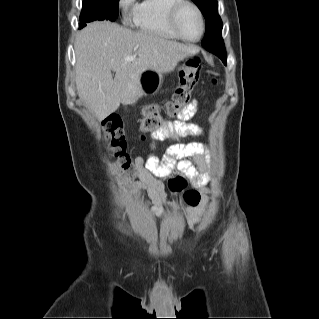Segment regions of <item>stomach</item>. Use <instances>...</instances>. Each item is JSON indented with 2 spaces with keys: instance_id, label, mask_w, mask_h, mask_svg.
<instances>
[{
  "instance_id": "obj_1",
  "label": "stomach",
  "mask_w": 319,
  "mask_h": 319,
  "mask_svg": "<svg viewBox=\"0 0 319 319\" xmlns=\"http://www.w3.org/2000/svg\"><path fill=\"white\" fill-rule=\"evenodd\" d=\"M162 83V75L155 69H146L141 72L139 77V86L142 95L154 94Z\"/></svg>"
}]
</instances>
